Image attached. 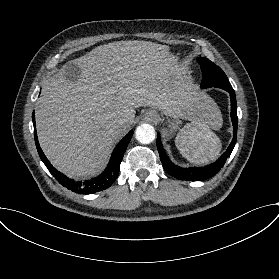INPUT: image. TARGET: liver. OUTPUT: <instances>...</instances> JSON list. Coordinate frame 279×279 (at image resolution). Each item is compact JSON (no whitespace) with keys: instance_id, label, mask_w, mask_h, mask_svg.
Segmentation results:
<instances>
[{"instance_id":"liver-1","label":"liver","mask_w":279,"mask_h":279,"mask_svg":"<svg viewBox=\"0 0 279 279\" xmlns=\"http://www.w3.org/2000/svg\"><path fill=\"white\" fill-rule=\"evenodd\" d=\"M175 61L165 45L113 42L74 60L81 69L75 80L55 75L36 107L39 142L52 164L74 178L98 172L141 106L191 123L201 119L202 95L179 79Z\"/></svg>"}]
</instances>
